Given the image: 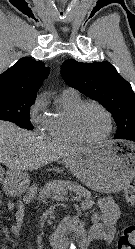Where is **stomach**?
Listing matches in <instances>:
<instances>
[{
  "mask_svg": "<svg viewBox=\"0 0 135 249\" xmlns=\"http://www.w3.org/2000/svg\"><path fill=\"white\" fill-rule=\"evenodd\" d=\"M64 162L92 190L116 193L128 186L135 177V145L107 141L69 156ZM10 176L17 190L29 182L28 176L22 172L13 171Z\"/></svg>",
  "mask_w": 135,
  "mask_h": 249,
  "instance_id": "stomach-1",
  "label": "stomach"
}]
</instances>
